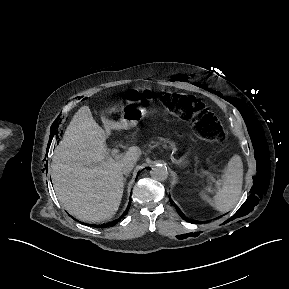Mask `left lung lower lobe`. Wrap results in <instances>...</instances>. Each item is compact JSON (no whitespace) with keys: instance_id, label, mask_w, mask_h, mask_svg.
I'll use <instances>...</instances> for the list:
<instances>
[{"instance_id":"obj_1","label":"left lung lower lobe","mask_w":289,"mask_h":289,"mask_svg":"<svg viewBox=\"0 0 289 289\" xmlns=\"http://www.w3.org/2000/svg\"><path fill=\"white\" fill-rule=\"evenodd\" d=\"M170 202H171V200H170ZM171 203H172V202H171ZM174 205H175V208H176V210L178 211L179 215H180L184 220L191 222V221L182 213V211L179 209V207H178L176 204H174Z\"/></svg>"}]
</instances>
